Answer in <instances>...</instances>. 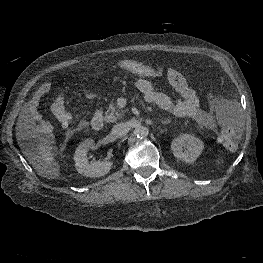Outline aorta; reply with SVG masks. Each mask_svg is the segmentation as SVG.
<instances>
[{"label":"aorta","mask_w":263,"mask_h":263,"mask_svg":"<svg viewBox=\"0 0 263 263\" xmlns=\"http://www.w3.org/2000/svg\"><path fill=\"white\" fill-rule=\"evenodd\" d=\"M134 134L135 136H137L138 138H145L148 136L149 134V129L146 126L143 125H138L135 129H134Z\"/></svg>","instance_id":"1"}]
</instances>
